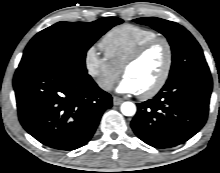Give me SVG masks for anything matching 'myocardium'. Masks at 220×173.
Segmentation results:
<instances>
[{
    "mask_svg": "<svg viewBox=\"0 0 220 173\" xmlns=\"http://www.w3.org/2000/svg\"><path fill=\"white\" fill-rule=\"evenodd\" d=\"M163 44L166 48V64L164 67V70L160 76V78L156 81V83L147 91L139 93L140 98L142 99H149L157 95L165 86L167 83L169 76L171 74V70L173 67V47L169 40H167L164 37H156L140 47H138L125 61L123 67H122V74L125 75V72L133 66L135 63H137L139 60H141L151 49H153L155 46Z\"/></svg>",
    "mask_w": 220,
    "mask_h": 173,
    "instance_id": "obj_1",
    "label": "myocardium"
}]
</instances>
